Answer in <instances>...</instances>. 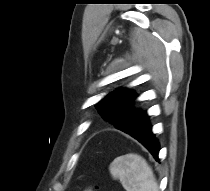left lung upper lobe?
Here are the masks:
<instances>
[{"mask_svg": "<svg viewBox=\"0 0 210 191\" xmlns=\"http://www.w3.org/2000/svg\"><path fill=\"white\" fill-rule=\"evenodd\" d=\"M136 97L134 92H126L124 88H118L103 98L97 104L96 109L116 128L129 134L141 124L133 114L136 112L134 109Z\"/></svg>", "mask_w": 210, "mask_h": 191, "instance_id": "left-lung-upper-lobe-1", "label": "left lung upper lobe"}]
</instances>
